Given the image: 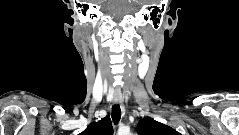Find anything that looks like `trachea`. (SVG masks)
Wrapping results in <instances>:
<instances>
[{"label":"trachea","instance_id":"1","mask_svg":"<svg viewBox=\"0 0 239 135\" xmlns=\"http://www.w3.org/2000/svg\"><path fill=\"white\" fill-rule=\"evenodd\" d=\"M121 118V109L119 104H114L112 106V119L115 124H117L120 121Z\"/></svg>","mask_w":239,"mask_h":135}]
</instances>
